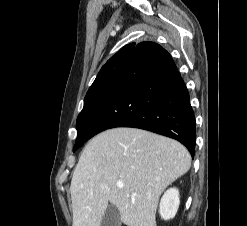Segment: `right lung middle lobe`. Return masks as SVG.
Returning <instances> with one entry per match:
<instances>
[{"instance_id":"dd1d6c3e","label":"right lung middle lobe","mask_w":247,"mask_h":226,"mask_svg":"<svg viewBox=\"0 0 247 226\" xmlns=\"http://www.w3.org/2000/svg\"><path fill=\"white\" fill-rule=\"evenodd\" d=\"M128 57L122 56L113 62L89 88L76 121L78 134L73 151L92 137L94 126L118 86Z\"/></svg>"}]
</instances>
